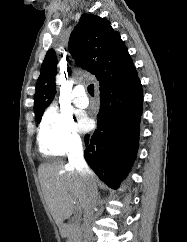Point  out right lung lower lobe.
<instances>
[{
	"mask_svg": "<svg viewBox=\"0 0 187 242\" xmlns=\"http://www.w3.org/2000/svg\"><path fill=\"white\" fill-rule=\"evenodd\" d=\"M143 92L137 73L100 90L97 129L85 136L84 157L96 175L117 189L136 157Z\"/></svg>",
	"mask_w": 187,
	"mask_h": 242,
	"instance_id": "right-lung-lower-lobe-1",
	"label": "right lung lower lobe"
}]
</instances>
